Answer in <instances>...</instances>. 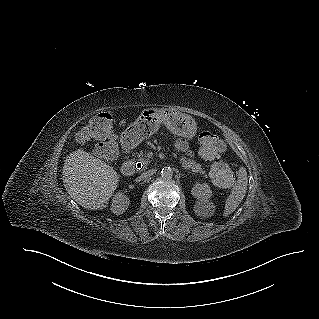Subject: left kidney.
Listing matches in <instances>:
<instances>
[{
	"label": "left kidney",
	"mask_w": 319,
	"mask_h": 319,
	"mask_svg": "<svg viewBox=\"0 0 319 319\" xmlns=\"http://www.w3.org/2000/svg\"><path fill=\"white\" fill-rule=\"evenodd\" d=\"M192 195L198 199V202L195 205L196 212L198 215L206 217L210 216L215 211V206L212 202L209 201L212 191L207 183H197L192 188Z\"/></svg>",
	"instance_id": "1"
}]
</instances>
